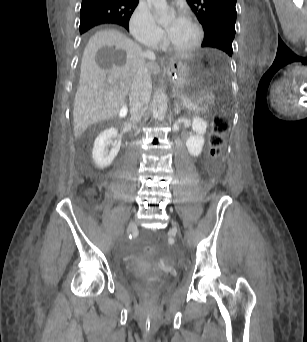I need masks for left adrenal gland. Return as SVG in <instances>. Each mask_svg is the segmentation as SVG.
I'll return each instance as SVG.
<instances>
[{
	"label": "left adrenal gland",
	"mask_w": 307,
	"mask_h": 342,
	"mask_svg": "<svg viewBox=\"0 0 307 342\" xmlns=\"http://www.w3.org/2000/svg\"><path fill=\"white\" fill-rule=\"evenodd\" d=\"M174 108H175V114L177 116V114L179 112V102H174Z\"/></svg>",
	"instance_id": "left-adrenal-gland-1"
}]
</instances>
